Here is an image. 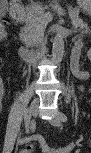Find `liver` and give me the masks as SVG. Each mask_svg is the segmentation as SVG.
I'll list each match as a JSON object with an SVG mask.
<instances>
[{
	"instance_id": "liver-1",
	"label": "liver",
	"mask_w": 91,
	"mask_h": 153,
	"mask_svg": "<svg viewBox=\"0 0 91 153\" xmlns=\"http://www.w3.org/2000/svg\"><path fill=\"white\" fill-rule=\"evenodd\" d=\"M4 3L6 4V3H7V1L5 0V1H4Z\"/></svg>"
}]
</instances>
